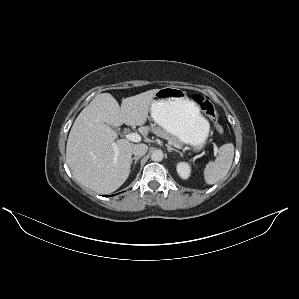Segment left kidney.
<instances>
[{
	"label": "left kidney",
	"mask_w": 299,
	"mask_h": 299,
	"mask_svg": "<svg viewBox=\"0 0 299 299\" xmlns=\"http://www.w3.org/2000/svg\"><path fill=\"white\" fill-rule=\"evenodd\" d=\"M177 173L182 179H188L191 173L190 165L186 162H179L177 164Z\"/></svg>",
	"instance_id": "5707ae66"
}]
</instances>
